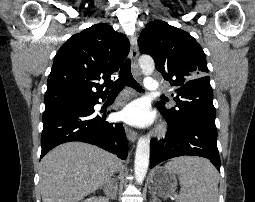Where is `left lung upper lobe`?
Masks as SVG:
<instances>
[{"instance_id":"5c2ea615","label":"left lung upper lobe","mask_w":255,"mask_h":202,"mask_svg":"<svg viewBox=\"0 0 255 202\" xmlns=\"http://www.w3.org/2000/svg\"><path fill=\"white\" fill-rule=\"evenodd\" d=\"M138 44L141 53L151 55L157 70L176 87V108L167 110L162 101L156 104L165 119L176 125L188 121L215 125L209 70L198 42L189 33L156 20L142 30Z\"/></svg>"}]
</instances>
